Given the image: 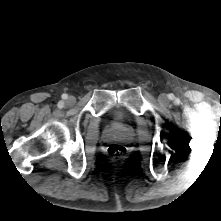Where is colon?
Returning a JSON list of instances; mask_svg holds the SVG:
<instances>
[{
    "mask_svg": "<svg viewBox=\"0 0 221 221\" xmlns=\"http://www.w3.org/2000/svg\"><path fill=\"white\" fill-rule=\"evenodd\" d=\"M107 153L113 159H120L125 156L126 148L120 144H113L107 149Z\"/></svg>",
    "mask_w": 221,
    "mask_h": 221,
    "instance_id": "5ec220e1",
    "label": "colon"
}]
</instances>
